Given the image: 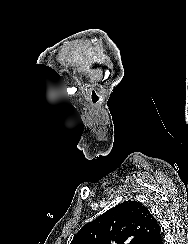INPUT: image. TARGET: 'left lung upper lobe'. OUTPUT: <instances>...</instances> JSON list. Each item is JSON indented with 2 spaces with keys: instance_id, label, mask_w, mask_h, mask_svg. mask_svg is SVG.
I'll return each instance as SVG.
<instances>
[{
  "instance_id": "5c2ea615",
  "label": "left lung upper lobe",
  "mask_w": 188,
  "mask_h": 244,
  "mask_svg": "<svg viewBox=\"0 0 188 244\" xmlns=\"http://www.w3.org/2000/svg\"><path fill=\"white\" fill-rule=\"evenodd\" d=\"M158 227L146 206L129 200L82 227L71 244H149Z\"/></svg>"
}]
</instances>
